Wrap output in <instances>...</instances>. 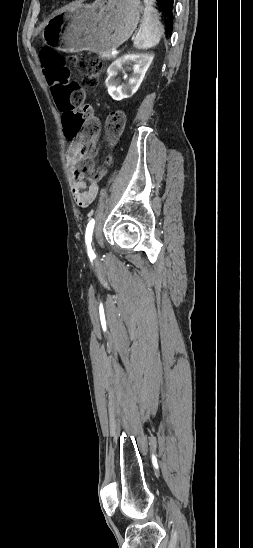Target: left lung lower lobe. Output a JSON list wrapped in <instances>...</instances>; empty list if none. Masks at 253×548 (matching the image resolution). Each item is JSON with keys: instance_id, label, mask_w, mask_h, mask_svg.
<instances>
[{"instance_id": "left-lung-lower-lobe-1", "label": "left lung lower lobe", "mask_w": 253, "mask_h": 548, "mask_svg": "<svg viewBox=\"0 0 253 548\" xmlns=\"http://www.w3.org/2000/svg\"><path fill=\"white\" fill-rule=\"evenodd\" d=\"M161 5V9L165 15V25L169 29V34H171L173 27V5L174 0H157Z\"/></svg>"}]
</instances>
